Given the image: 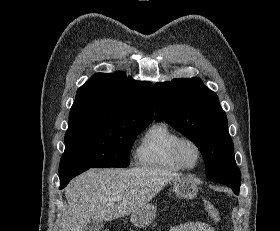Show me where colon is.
Returning a JSON list of instances; mask_svg holds the SVG:
<instances>
[{"instance_id": "obj_1", "label": "colon", "mask_w": 280, "mask_h": 231, "mask_svg": "<svg viewBox=\"0 0 280 231\" xmlns=\"http://www.w3.org/2000/svg\"><path fill=\"white\" fill-rule=\"evenodd\" d=\"M205 209L213 220H219L220 214L218 208L209 200L204 202Z\"/></svg>"}]
</instances>
